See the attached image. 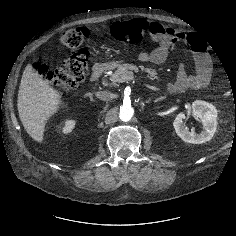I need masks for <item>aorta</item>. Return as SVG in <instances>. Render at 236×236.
<instances>
[{
  "label": "aorta",
  "mask_w": 236,
  "mask_h": 236,
  "mask_svg": "<svg viewBox=\"0 0 236 236\" xmlns=\"http://www.w3.org/2000/svg\"><path fill=\"white\" fill-rule=\"evenodd\" d=\"M134 109L130 105H123L120 107L119 118L121 121H130L133 117Z\"/></svg>",
  "instance_id": "1"
}]
</instances>
